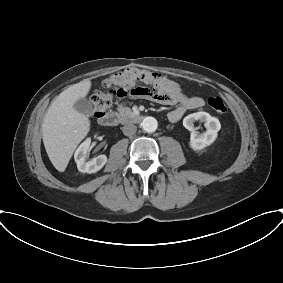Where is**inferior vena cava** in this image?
Segmentation results:
<instances>
[{"mask_svg":"<svg viewBox=\"0 0 283 283\" xmlns=\"http://www.w3.org/2000/svg\"><path fill=\"white\" fill-rule=\"evenodd\" d=\"M122 131L126 136H132L136 133L137 127L134 124H126L123 126Z\"/></svg>","mask_w":283,"mask_h":283,"instance_id":"602c4592","label":"inferior vena cava"}]
</instances>
